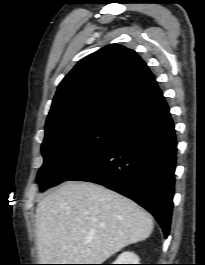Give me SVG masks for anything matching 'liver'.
<instances>
[{"label": "liver", "mask_w": 205, "mask_h": 265, "mask_svg": "<svg viewBox=\"0 0 205 265\" xmlns=\"http://www.w3.org/2000/svg\"><path fill=\"white\" fill-rule=\"evenodd\" d=\"M35 219L42 264H102L153 231L135 202L89 182L62 184L39 201Z\"/></svg>", "instance_id": "6515ba94"}]
</instances>
